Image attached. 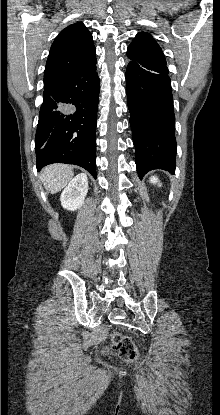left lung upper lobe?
I'll use <instances>...</instances> for the list:
<instances>
[{
	"label": "left lung upper lobe",
	"instance_id": "5c2ea615",
	"mask_svg": "<svg viewBox=\"0 0 220 415\" xmlns=\"http://www.w3.org/2000/svg\"><path fill=\"white\" fill-rule=\"evenodd\" d=\"M131 60L146 61L166 65L164 54L155 39L148 33L140 32L127 49Z\"/></svg>",
	"mask_w": 220,
	"mask_h": 415
}]
</instances>
